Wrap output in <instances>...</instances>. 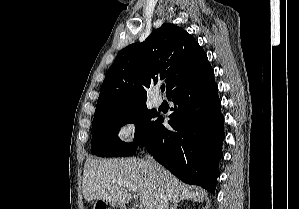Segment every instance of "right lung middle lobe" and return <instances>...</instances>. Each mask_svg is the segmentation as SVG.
Instances as JSON below:
<instances>
[{
	"instance_id": "1",
	"label": "right lung middle lobe",
	"mask_w": 299,
	"mask_h": 209,
	"mask_svg": "<svg viewBox=\"0 0 299 209\" xmlns=\"http://www.w3.org/2000/svg\"><path fill=\"white\" fill-rule=\"evenodd\" d=\"M156 116L153 110H148L146 104L95 115L92 123V154L101 157L133 155ZM128 123L136 126L135 139L131 145L122 142L117 136L119 128Z\"/></svg>"
}]
</instances>
